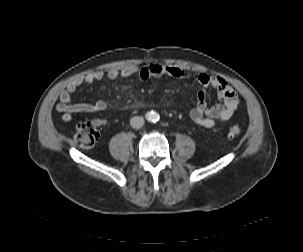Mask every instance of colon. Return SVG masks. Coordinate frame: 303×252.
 Segmentation results:
<instances>
[{"label": "colon", "instance_id": "obj_1", "mask_svg": "<svg viewBox=\"0 0 303 252\" xmlns=\"http://www.w3.org/2000/svg\"><path fill=\"white\" fill-rule=\"evenodd\" d=\"M228 137L234 138L241 134V128L237 125H232L228 128ZM99 138V131L96 122L85 121L77 125L75 139L79 146L83 148L93 147Z\"/></svg>", "mask_w": 303, "mask_h": 252}]
</instances>
